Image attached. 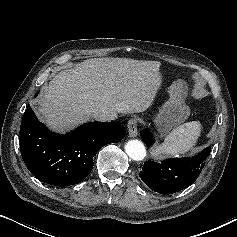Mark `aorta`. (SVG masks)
<instances>
[{
	"label": "aorta",
	"instance_id": "obj_1",
	"mask_svg": "<svg viewBox=\"0 0 237 237\" xmlns=\"http://www.w3.org/2000/svg\"><path fill=\"white\" fill-rule=\"evenodd\" d=\"M125 151L127 155L135 161H141L146 156V149L144 144L139 140H129L125 144Z\"/></svg>",
	"mask_w": 237,
	"mask_h": 237
}]
</instances>
